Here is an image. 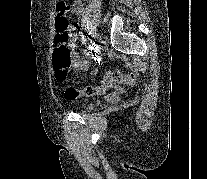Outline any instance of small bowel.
Listing matches in <instances>:
<instances>
[{
    "label": "small bowel",
    "mask_w": 207,
    "mask_h": 179,
    "mask_svg": "<svg viewBox=\"0 0 207 179\" xmlns=\"http://www.w3.org/2000/svg\"><path fill=\"white\" fill-rule=\"evenodd\" d=\"M73 8H74L75 15L81 17L82 27H83V25L85 23V18H84V8L81 3V0H74ZM68 32H69V37H70L69 47L72 50V65H73V67L77 70H83V71L88 70L89 65H88L87 60L83 59L75 51V47L77 45V39H78V35L75 33V27L73 25H70L68 27Z\"/></svg>",
    "instance_id": "obj_1"
}]
</instances>
